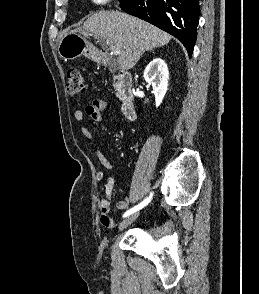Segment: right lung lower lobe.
<instances>
[{
    "label": "right lung lower lobe",
    "instance_id": "right-lung-lower-lobe-1",
    "mask_svg": "<svg viewBox=\"0 0 259 294\" xmlns=\"http://www.w3.org/2000/svg\"><path fill=\"white\" fill-rule=\"evenodd\" d=\"M120 7L179 39L191 56L200 15L199 0H122Z\"/></svg>",
    "mask_w": 259,
    "mask_h": 294
}]
</instances>
